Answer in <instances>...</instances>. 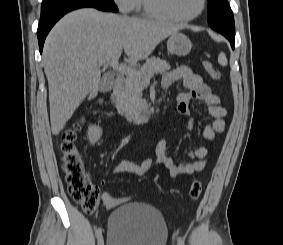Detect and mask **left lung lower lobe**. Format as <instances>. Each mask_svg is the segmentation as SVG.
Masks as SVG:
<instances>
[{"label":"left lung lower lobe","mask_w":283,"mask_h":245,"mask_svg":"<svg viewBox=\"0 0 283 245\" xmlns=\"http://www.w3.org/2000/svg\"><path fill=\"white\" fill-rule=\"evenodd\" d=\"M222 35H224L230 41V44L232 48L234 49L235 35H227V34H222Z\"/></svg>","instance_id":"1"}]
</instances>
